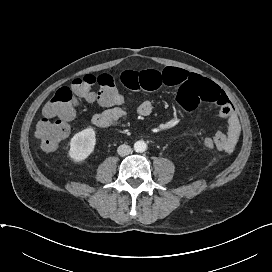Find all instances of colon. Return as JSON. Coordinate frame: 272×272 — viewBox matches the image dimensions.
<instances>
[{
	"instance_id": "5ec220e1",
	"label": "colon",
	"mask_w": 272,
	"mask_h": 272,
	"mask_svg": "<svg viewBox=\"0 0 272 272\" xmlns=\"http://www.w3.org/2000/svg\"><path fill=\"white\" fill-rule=\"evenodd\" d=\"M80 99L97 101L105 107H126L130 101L119 92L114 78L109 74H87L75 79L70 86L59 88L44 105L43 118L35 127V135L45 151L56 150L68 136V122L74 117ZM204 145L208 149L215 148L214 140L210 137L204 139Z\"/></svg>"
}]
</instances>
